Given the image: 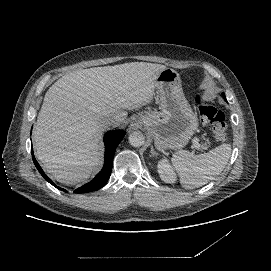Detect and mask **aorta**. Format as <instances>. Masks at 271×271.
Wrapping results in <instances>:
<instances>
[{
    "label": "aorta",
    "mask_w": 271,
    "mask_h": 271,
    "mask_svg": "<svg viewBox=\"0 0 271 271\" xmlns=\"http://www.w3.org/2000/svg\"><path fill=\"white\" fill-rule=\"evenodd\" d=\"M129 143L133 147H140L144 145L145 142V136L140 131H134L129 135Z\"/></svg>",
    "instance_id": "762f6f07"
}]
</instances>
